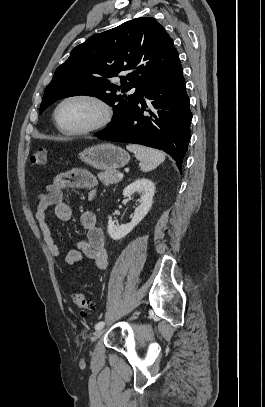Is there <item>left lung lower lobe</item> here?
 <instances>
[{
    "mask_svg": "<svg viewBox=\"0 0 265 407\" xmlns=\"http://www.w3.org/2000/svg\"><path fill=\"white\" fill-rule=\"evenodd\" d=\"M144 96L157 114L146 109L148 106L141 99L124 121L105 133L97 134V137L161 149L177 162L181 171L191 137L192 120L182 66L151 83ZM144 111H148L150 116H145Z\"/></svg>",
    "mask_w": 265,
    "mask_h": 407,
    "instance_id": "left-lung-lower-lobe-1",
    "label": "left lung lower lobe"
}]
</instances>
